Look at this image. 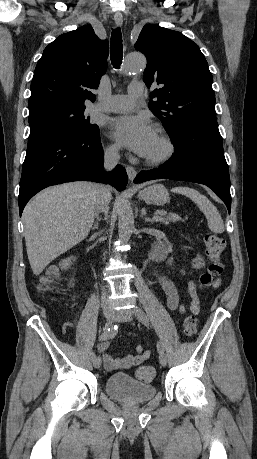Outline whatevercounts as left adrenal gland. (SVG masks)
Masks as SVG:
<instances>
[{
	"label": "left adrenal gland",
	"mask_w": 257,
	"mask_h": 459,
	"mask_svg": "<svg viewBox=\"0 0 257 459\" xmlns=\"http://www.w3.org/2000/svg\"><path fill=\"white\" fill-rule=\"evenodd\" d=\"M145 213H146L145 208H142V210H141V217H142V218L145 216ZM144 220H145V222H150V223H152V224L155 222L154 219H151V218H149V217H145Z\"/></svg>",
	"instance_id": "1"
}]
</instances>
